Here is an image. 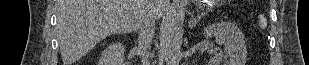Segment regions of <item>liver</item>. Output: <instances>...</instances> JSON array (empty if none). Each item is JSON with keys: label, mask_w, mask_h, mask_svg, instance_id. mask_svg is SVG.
Wrapping results in <instances>:
<instances>
[{"label": "liver", "mask_w": 309, "mask_h": 65, "mask_svg": "<svg viewBox=\"0 0 309 65\" xmlns=\"http://www.w3.org/2000/svg\"><path fill=\"white\" fill-rule=\"evenodd\" d=\"M165 0H57L63 65H72L112 34L138 30L144 15H163Z\"/></svg>", "instance_id": "1"}]
</instances>
